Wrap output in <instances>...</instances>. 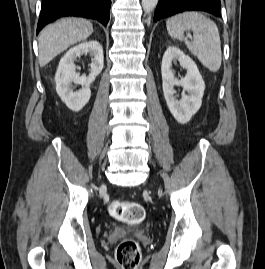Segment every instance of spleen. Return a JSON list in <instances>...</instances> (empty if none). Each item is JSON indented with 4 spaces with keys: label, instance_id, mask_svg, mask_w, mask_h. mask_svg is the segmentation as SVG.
<instances>
[{
    "label": "spleen",
    "instance_id": "3e777b00",
    "mask_svg": "<svg viewBox=\"0 0 265 269\" xmlns=\"http://www.w3.org/2000/svg\"><path fill=\"white\" fill-rule=\"evenodd\" d=\"M168 34L184 41L189 51L201 64L215 73L222 62L221 41L216 24L200 12L186 11L166 21ZM193 32V41H188L184 32Z\"/></svg>",
    "mask_w": 265,
    "mask_h": 269
}]
</instances>
